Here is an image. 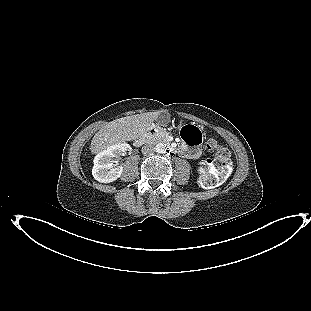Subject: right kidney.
Segmentation results:
<instances>
[{
    "instance_id": "obj_1",
    "label": "right kidney",
    "mask_w": 311,
    "mask_h": 311,
    "mask_svg": "<svg viewBox=\"0 0 311 311\" xmlns=\"http://www.w3.org/2000/svg\"><path fill=\"white\" fill-rule=\"evenodd\" d=\"M130 150V145L122 142L98 153L94 158L92 168L94 179L101 183H110L118 179L123 172V167L113 164V159L124 155L126 151Z\"/></svg>"
}]
</instances>
